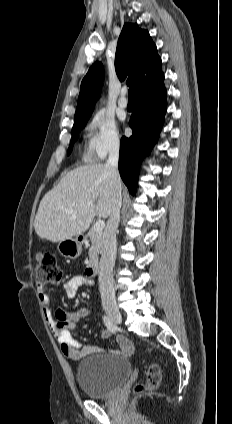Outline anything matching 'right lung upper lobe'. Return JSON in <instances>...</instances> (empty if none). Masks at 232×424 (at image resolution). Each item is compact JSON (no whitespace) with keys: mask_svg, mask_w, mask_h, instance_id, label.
<instances>
[{"mask_svg":"<svg viewBox=\"0 0 232 424\" xmlns=\"http://www.w3.org/2000/svg\"><path fill=\"white\" fill-rule=\"evenodd\" d=\"M161 58L148 31L137 24L125 23L118 39L115 70L118 78L135 86V93L151 87L163 74ZM104 78L103 65L94 63L81 83L75 120L90 117L100 96Z\"/></svg>","mask_w":232,"mask_h":424,"instance_id":"1","label":"right lung upper lobe"}]
</instances>
